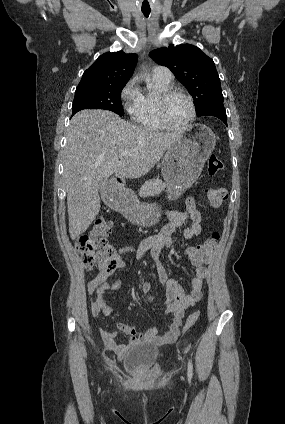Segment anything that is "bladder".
I'll return each instance as SVG.
<instances>
[{"mask_svg":"<svg viewBox=\"0 0 285 424\" xmlns=\"http://www.w3.org/2000/svg\"><path fill=\"white\" fill-rule=\"evenodd\" d=\"M163 349L153 344H140L130 348L124 358L123 365L132 372L138 373L150 369L161 358Z\"/></svg>","mask_w":285,"mask_h":424,"instance_id":"obj_1","label":"bladder"}]
</instances>
